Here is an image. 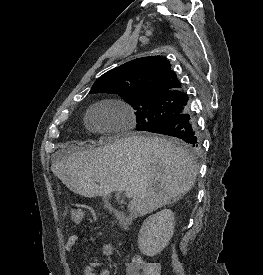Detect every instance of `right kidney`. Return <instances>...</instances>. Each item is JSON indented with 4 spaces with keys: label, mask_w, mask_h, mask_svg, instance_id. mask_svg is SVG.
Segmentation results:
<instances>
[{
    "label": "right kidney",
    "mask_w": 263,
    "mask_h": 275,
    "mask_svg": "<svg viewBox=\"0 0 263 275\" xmlns=\"http://www.w3.org/2000/svg\"><path fill=\"white\" fill-rule=\"evenodd\" d=\"M174 232V214L169 209L149 216L138 235L140 251L149 257L160 253L169 243Z\"/></svg>",
    "instance_id": "1"
}]
</instances>
